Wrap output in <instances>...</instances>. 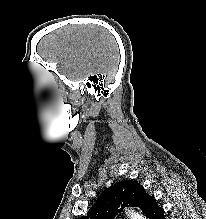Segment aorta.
Segmentation results:
<instances>
[{"mask_svg": "<svg viewBox=\"0 0 206 219\" xmlns=\"http://www.w3.org/2000/svg\"><path fill=\"white\" fill-rule=\"evenodd\" d=\"M128 215H129L130 219H146L143 215H141L133 210H129Z\"/></svg>", "mask_w": 206, "mask_h": 219, "instance_id": "obj_1", "label": "aorta"}]
</instances>
